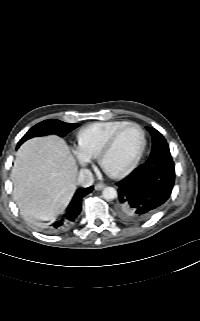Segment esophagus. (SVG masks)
I'll return each mask as SVG.
<instances>
[{"label": "esophagus", "mask_w": 200, "mask_h": 321, "mask_svg": "<svg viewBox=\"0 0 200 321\" xmlns=\"http://www.w3.org/2000/svg\"><path fill=\"white\" fill-rule=\"evenodd\" d=\"M104 187H105V185L102 184V183H97L95 185V189L98 190V191L102 190Z\"/></svg>", "instance_id": "esophagus-1"}]
</instances>
